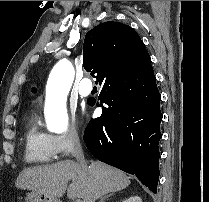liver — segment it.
I'll list each match as a JSON object with an SVG mask.
<instances>
[{
	"label": "liver",
	"mask_w": 209,
	"mask_h": 202,
	"mask_svg": "<svg viewBox=\"0 0 209 202\" xmlns=\"http://www.w3.org/2000/svg\"><path fill=\"white\" fill-rule=\"evenodd\" d=\"M84 171L79 163L71 160L52 165L24 169L16 180V187L62 197L67 190L69 199L95 202L108 193L121 191L130 185V178L122 171L99 161H91ZM72 183L68 186V181Z\"/></svg>",
	"instance_id": "6515ba94"
}]
</instances>
